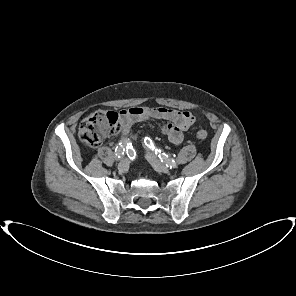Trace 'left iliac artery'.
<instances>
[{
    "mask_svg": "<svg viewBox=\"0 0 296 296\" xmlns=\"http://www.w3.org/2000/svg\"><path fill=\"white\" fill-rule=\"evenodd\" d=\"M144 143L150 150L158 155L160 160L164 162L167 167L175 168L177 166L175 160L170 158L167 154L163 153L159 148H157L149 137H145Z\"/></svg>",
    "mask_w": 296,
    "mask_h": 296,
    "instance_id": "44dca946",
    "label": "left iliac artery"
}]
</instances>
